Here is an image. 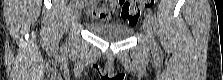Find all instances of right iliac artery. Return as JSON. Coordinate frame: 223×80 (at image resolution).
<instances>
[{"label": "right iliac artery", "mask_w": 223, "mask_h": 80, "mask_svg": "<svg viewBox=\"0 0 223 80\" xmlns=\"http://www.w3.org/2000/svg\"><path fill=\"white\" fill-rule=\"evenodd\" d=\"M74 5H75V6L78 5V3L76 2Z\"/></svg>", "instance_id": "obj_1"}]
</instances>
